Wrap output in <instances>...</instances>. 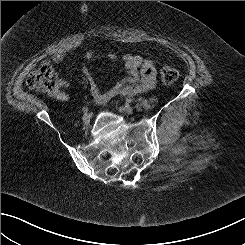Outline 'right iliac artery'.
Segmentation results:
<instances>
[{
    "instance_id": "obj_1",
    "label": "right iliac artery",
    "mask_w": 245,
    "mask_h": 245,
    "mask_svg": "<svg viewBox=\"0 0 245 245\" xmlns=\"http://www.w3.org/2000/svg\"><path fill=\"white\" fill-rule=\"evenodd\" d=\"M82 111H83L84 114H86V113L89 111V108H88V107H84V108L82 109Z\"/></svg>"
}]
</instances>
